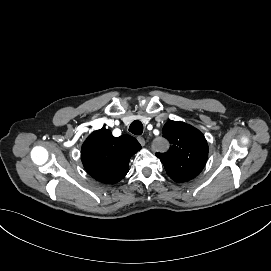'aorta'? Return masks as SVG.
Instances as JSON below:
<instances>
[{"instance_id":"obj_1","label":"aorta","mask_w":271,"mask_h":271,"mask_svg":"<svg viewBox=\"0 0 271 271\" xmlns=\"http://www.w3.org/2000/svg\"><path fill=\"white\" fill-rule=\"evenodd\" d=\"M160 147H161V148L166 147V142H164L163 140H161V142H160Z\"/></svg>"}]
</instances>
